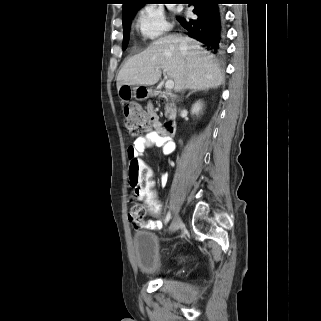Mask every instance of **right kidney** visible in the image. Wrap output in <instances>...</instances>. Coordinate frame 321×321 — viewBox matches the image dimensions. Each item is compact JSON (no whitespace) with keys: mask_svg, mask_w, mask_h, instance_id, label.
Segmentation results:
<instances>
[{"mask_svg":"<svg viewBox=\"0 0 321 321\" xmlns=\"http://www.w3.org/2000/svg\"><path fill=\"white\" fill-rule=\"evenodd\" d=\"M203 103L201 101H197L196 103L193 104L192 109H191V114H196L198 115L199 112L202 110Z\"/></svg>","mask_w":321,"mask_h":321,"instance_id":"1","label":"right kidney"}]
</instances>
